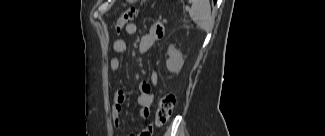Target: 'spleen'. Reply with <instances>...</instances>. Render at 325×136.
I'll use <instances>...</instances> for the list:
<instances>
[{
  "instance_id": "spleen-1",
  "label": "spleen",
  "mask_w": 325,
  "mask_h": 136,
  "mask_svg": "<svg viewBox=\"0 0 325 136\" xmlns=\"http://www.w3.org/2000/svg\"><path fill=\"white\" fill-rule=\"evenodd\" d=\"M190 17L200 29L210 31L213 26V18L209 1L193 0Z\"/></svg>"
}]
</instances>
